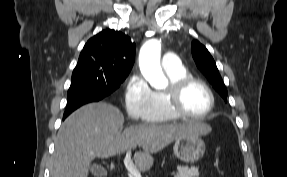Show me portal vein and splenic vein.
<instances>
[{
  "mask_svg": "<svg viewBox=\"0 0 287 177\" xmlns=\"http://www.w3.org/2000/svg\"><path fill=\"white\" fill-rule=\"evenodd\" d=\"M124 165L128 172L131 174L132 177H142L141 173L139 172L138 168L134 165L131 159V150H128L126 156L123 160Z\"/></svg>",
  "mask_w": 287,
  "mask_h": 177,
  "instance_id": "1",
  "label": "portal vein and splenic vein"
}]
</instances>
